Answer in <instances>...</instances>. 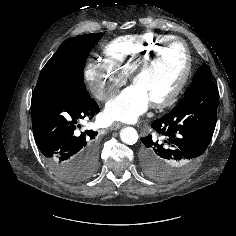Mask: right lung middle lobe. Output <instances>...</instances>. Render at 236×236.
Instances as JSON below:
<instances>
[{
	"label": "right lung middle lobe",
	"instance_id": "dd1d6c3e",
	"mask_svg": "<svg viewBox=\"0 0 236 236\" xmlns=\"http://www.w3.org/2000/svg\"><path fill=\"white\" fill-rule=\"evenodd\" d=\"M102 36L103 33L87 34L63 42L57 52L43 67L35 90L75 91L83 95H89L84 84V63L92 46ZM96 165L97 160L91 159L77 166L74 174L66 178V180H84L92 175Z\"/></svg>",
	"mask_w": 236,
	"mask_h": 236
}]
</instances>
